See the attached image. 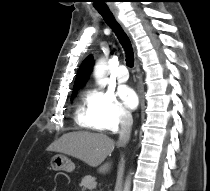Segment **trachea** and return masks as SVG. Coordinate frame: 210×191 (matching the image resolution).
I'll return each instance as SVG.
<instances>
[{
  "label": "trachea",
  "instance_id": "trachea-1",
  "mask_svg": "<svg viewBox=\"0 0 210 191\" xmlns=\"http://www.w3.org/2000/svg\"><path fill=\"white\" fill-rule=\"evenodd\" d=\"M98 12L102 15L107 25L113 30L121 45L126 52V64L129 67L134 65V53L129 37L124 32L120 24L114 18L112 12L108 8H97Z\"/></svg>",
  "mask_w": 210,
  "mask_h": 191
}]
</instances>
